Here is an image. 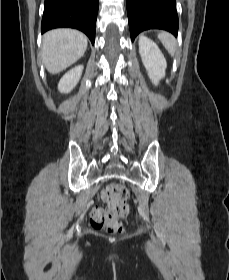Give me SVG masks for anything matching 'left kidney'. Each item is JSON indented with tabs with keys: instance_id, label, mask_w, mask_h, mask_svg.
<instances>
[{
	"instance_id": "obj_1",
	"label": "left kidney",
	"mask_w": 229,
	"mask_h": 280,
	"mask_svg": "<svg viewBox=\"0 0 229 280\" xmlns=\"http://www.w3.org/2000/svg\"><path fill=\"white\" fill-rule=\"evenodd\" d=\"M139 53L150 80L154 85H158L159 80L165 76L167 67L164 55L159 47L145 36L139 39Z\"/></svg>"
}]
</instances>
